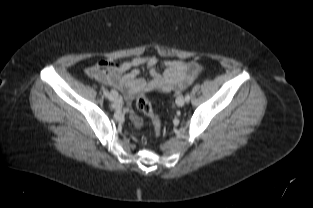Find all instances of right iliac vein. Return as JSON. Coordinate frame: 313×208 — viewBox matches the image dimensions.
<instances>
[{"instance_id":"obj_1","label":"right iliac vein","mask_w":313,"mask_h":208,"mask_svg":"<svg viewBox=\"0 0 313 208\" xmlns=\"http://www.w3.org/2000/svg\"><path fill=\"white\" fill-rule=\"evenodd\" d=\"M109 99H110L112 102H114V103L117 104V102H118V93H117V91L111 90V92H110V94H109Z\"/></svg>"}]
</instances>
